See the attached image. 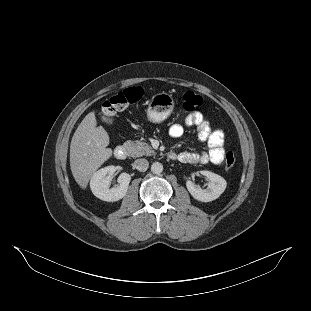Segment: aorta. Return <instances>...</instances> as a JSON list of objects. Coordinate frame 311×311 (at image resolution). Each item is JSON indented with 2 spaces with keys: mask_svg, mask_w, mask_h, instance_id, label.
<instances>
[{
  "mask_svg": "<svg viewBox=\"0 0 311 311\" xmlns=\"http://www.w3.org/2000/svg\"><path fill=\"white\" fill-rule=\"evenodd\" d=\"M151 171L155 174H159L163 171V165L160 162H154L151 165Z\"/></svg>",
  "mask_w": 311,
  "mask_h": 311,
  "instance_id": "1",
  "label": "aorta"
}]
</instances>
